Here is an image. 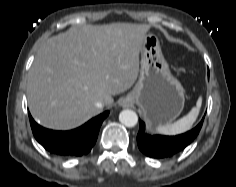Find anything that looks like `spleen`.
I'll use <instances>...</instances> for the list:
<instances>
[{
	"instance_id": "1",
	"label": "spleen",
	"mask_w": 236,
	"mask_h": 187,
	"mask_svg": "<svg viewBox=\"0 0 236 187\" xmlns=\"http://www.w3.org/2000/svg\"><path fill=\"white\" fill-rule=\"evenodd\" d=\"M201 105L202 97L200 96L196 106L186 116L172 124L158 126L156 131L164 135H178L190 130L199 115Z\"/></svg>"
}]
</instances>
